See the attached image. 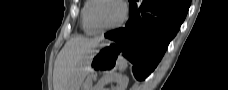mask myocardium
<instances>
[{
	"label": "myocardium",
	"mask_w": 228,
	"mask_h": 90,
	"mask_svg": "<svg viewBox=\"0 0 228 90\" xmlns=\"http://www.w3.org/2000/svg\"><path fill=\"white\" fill-rule=\"evenodd\" d=\"M100 1H102V0H93V4L91 5L90 11H89V21H90L91 26L96 30V32H106V31L114 30V29L120 27L126 21L127 16H128V9H127L125 2L122 0H112L120 5L121 16L118 19V21L115 22L114 24L107 26V27H99L96 24L95 19H94V9L96 7V4Z\"/></svg>",
	"instance_id": "f54148a6"
}]
</instances>
